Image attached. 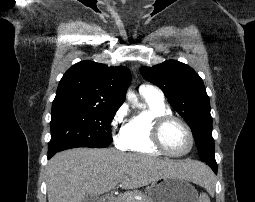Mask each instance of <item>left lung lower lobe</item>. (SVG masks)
I'll return each instance as SVG.
<instances>
[{
	"label": "left lung lower lobe",
	"mask_w": 255,
	"mask_h": 202,
	"mask_svg": "<svg viewBox=\"0 0 255 202\" xmlns=\"http://www.w3.org/2000/svg\"><path fill=\"white\" fill-rule=\"evenodd\" d=\"M206 162L211 168L212 170L217 173V164H216V161H212V160H206L204 161Z\"/></svg>",
	"instance_id": "obj_1"
}]
</instances>
